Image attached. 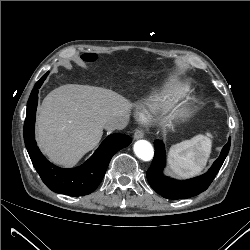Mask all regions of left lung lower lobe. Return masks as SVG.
<instances>
[{
    "mask_svg": "<svg viewBox=\"0 0 250 250\" xmlns=\"http://www.w3.org/2000/svg\"><path fill=\"white\" fill-rule=\"evenodd\" d=\"M230 142L231 139L229 138L227 144L223 147L220 156L213 163L208 172L192 179L179 181L165 177L162 174V170L166 164L165 147L163 142L156 140L154 142L155 156L152 165L146 174L150 186L157 193L167 199L190 198L200 194L209 187L220 170L229 152Z\"/></svg>",
    "mask_w": 250,
    "mask_h": 250,
    "instance_id": "left-lung-lower-lobe-1",
    "label": "left lung lower lobe"
}]
</instances>
